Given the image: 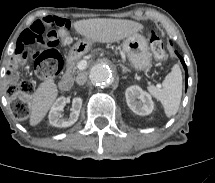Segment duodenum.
<instances>
[{
  "label": "duodenum",
  "mask_w": 215,
  "mask_h": 183,
  "mask_svg": "<svg viewBox=\"0 0 215 183\" xmlns=\"http://www.w3.org/2000/svg\"><path fill=\"white\" fill-rule=\"evenodd\" d=\"M72 85H73L72 77L70 76L69 73L65 72L59 82L60 89L62 91H68L72 88Z\"/></svg>",
  "instance_id": "obj_1"
}]
</instances>
